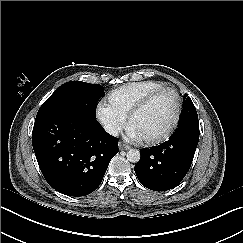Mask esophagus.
<instances>
[{"mask_svg": "<svg viewBox=\"0 0 243 243\" xmlns=\"http://www.w3.org/2000/svg\"><path fill=\"white\" fill-rule=\"evenodd\" d=\"M119 147L121 150H129L131 147L127 144H124L122 142L119 143Z\"/></svg>", "mask_w": 243, "mask_h": 243, "instance_id": "34e87169", "label": "esophagus"}]
</instances>
